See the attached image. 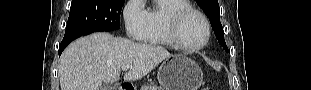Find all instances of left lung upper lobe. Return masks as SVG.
Returning <instances> with one entry per match:
<instances>
[{
  "label": "left lung upper lobe",
  "instance_id": "5c2ea615",
  "mask_svg": "<svg viewBox=\"0 0 311 90\" xmlns=\"http://www.w3.org/2000/svg\"><path fill=\"white\" fill-rule=\"evenodd\" d=\"M196 2L200 5L204 13L208 16L212 29L215 33L218 42L223 48L228 51L224 40V32L223 27L220 22V7L217 0H196Z\"/></svg>",
  "mask_w": 311,
  "mask_h": 90
}]
</instances>
